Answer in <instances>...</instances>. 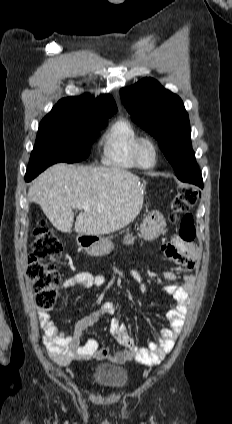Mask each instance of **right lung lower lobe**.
<instances>
[{
	"label": "right lung lower lobe",
	"instance_id": "98d812e1",
	"mask_svg": "<svg viewBox=\"0 0 232 424\" xmlns=\"http://www.w3.org/2000/svg\"><path fill=\"white\" fill-rule=\"evenodd\" d=\"M39 174V173H38ZM38 174H33V175H26L25 176V180L27 182L31 181L33 178H35Z\"/></svg>",
	"mask_w": 232,
	"mask_h": 424
}]
</instances>
